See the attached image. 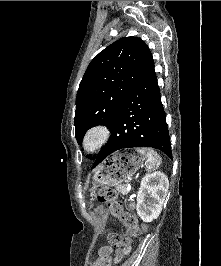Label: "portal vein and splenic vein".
<instances>
[{
  "instance_id": "obj_1",
  "label": "portal vein and splenic vein",
  "mask_w": 221,
  "mask_h": 266,
  "mask_svg": "<svg viewBox=\"0 0 221 266\" xmlns=\"http://www.w3.org/2000/svg\"><path fill=\"white\" fill-rule=\"evenodd\" d=\"M127 189H130V184H128V188Z\"/></svg>"
}]
</instances>
